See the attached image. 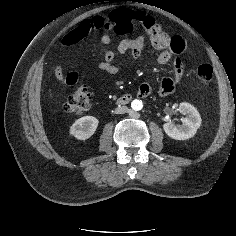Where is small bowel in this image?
Returning <instances> with one entry per match:
<instances>
[{
    "label": "small bowel",
    "mask_w": 236,
    "mask_h": 236,
    "mask_svg": "<svg viewBox=\"0 0 236 236\" xmlns=\"http://www.w3.org/2000/svg\"><path fill=\"white\" fill-rule=\"evenodd\" d=\"M145 30L152 46L161 51L156 57V63L164 66L171 61L173 62V71L171 76L164 77L159 86V93L161 95H170L175 91L184 76L185 66L181 55L188 50V43L182 36L170 37L167 34L165 35L152 18L145 24ZM100 41L104 46H109L112 43L111 37L107 34H103ZM72 44L74 43L69 40L68 36L63 39L64 46H70ZM144 47L145 39L142 35L134 38L122 39L118 43L116 51L108 50L104 53L99 68L109 75H115L119 71L118 66L114 63L117 55L129 53L133 57H139L142 55ZM54 75L61 83H67V77L64 75L60 66H55ZM150 93L151 86L149 84L144 83L140 85L138 94L141 97H146Z\"/></svg>",
    "instance_id": "obj_1"
}]
</instances>
